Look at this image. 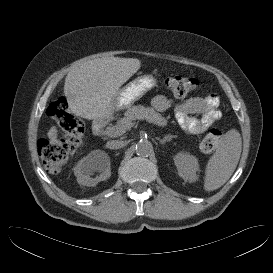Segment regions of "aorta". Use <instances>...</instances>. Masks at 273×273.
<instances>
[{"mask_svg": "<svg viewBox=\"0 0 273 273\" xmlns=\"http://www.w3.org/2000/svg\"><path fill=\"white\" fill-rule=\"evenodd\" d=\"M135 150L139 156H148L152 153L153 146L150 141L143 139L136 144Z\"/></svg>", "mask_w": 273, "mask_h": 273, "instance_id": "762f6f07", "label": "aorta"}]
</instances>
